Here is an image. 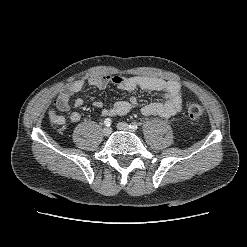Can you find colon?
<instances>
[{
  "mask_svg": "<svg viewBox=\"0 0 247 247\" xmlns=\"http://www.w3.org/2000/svg\"><path fill=\"white\" fill-rule=\"evenodd\" d=\"M187 114L191 120H200L204 116V108L199 104H190L187 109Z\"/></svg>",
  "mask_w": 247,
  "mask_h": 247,
  "instance_id": "obj_1",
  "label": "colon"
}]
</instances>
